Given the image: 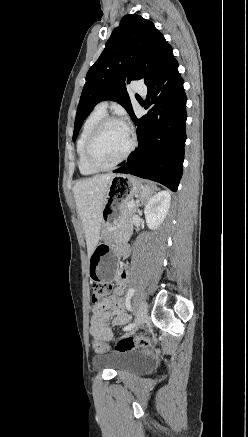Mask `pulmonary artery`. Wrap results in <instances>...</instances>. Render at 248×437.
I'll return each instance as SVG.
<instances>
[{"label":"pulmonary artery","mask_w":248,"mask_h":437,"mask_svg":"<svg viewBox=\"0 0 248 437\" xmlns=\"http://www.w3.org/2000/svg\"><path fill=\"white\" fill-rule=\"evenodd\" d=\"M133 90L137 93L145 94L146 87L139 81H135L133 83ZM107 108H108V101H101L96 105L95 109L105 113L107 111Z\"/></svg>","instance_id":"e3ab8cb5"}]
</instances>
